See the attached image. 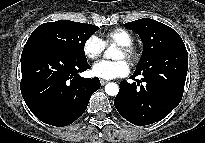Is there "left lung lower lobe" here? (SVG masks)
I'll use <instances>...</instances> for the list:
<instances>
[{
  "mask_svg": "<svg viewBox=\"0 0 205 143\" xmlns=\"http://www.w3.org/2000/svg\"><path fill=\"white\" fill-rule=\"evenodd\" d=\"M188 70L184 42L167 47L148 69L131 76L143 78L132 84L120 83L114 100L117 111L135 125H149L165 118L181 101ZM143 83L140 84V83ZM140 86V87H139Z\"/></svg>",
  "mask_w": 205,
  "mask_h": 143,
  "instance_id": "1",
  "label": "left lung lower lobe"
}]
</instances>
